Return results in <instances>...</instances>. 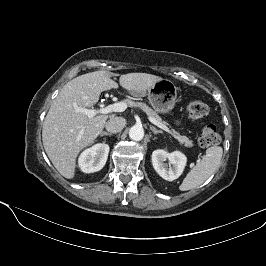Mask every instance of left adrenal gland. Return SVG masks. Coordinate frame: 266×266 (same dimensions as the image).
Wrapping results in <instances>:
<instances>
[{"mask_svg":"<svg viewBox=\"0 0 266 266\" xmlns=\"http://www.w3.org/2000/svg\"><path fill=\"white\" fill-rule=\"evenodd\" d=\"M150 129L152 130V132L155 134V135H157L158 133H163V131H161V130H157L155 127H153V126H150Z\"/></svg>","mask_w":266,"mask_h":266,"instance_id":"left-adrenal-gland-1","label":"left adrenal gland"}]
</instances>
